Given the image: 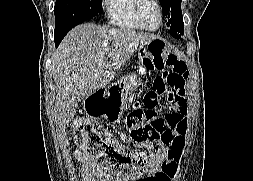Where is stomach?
<instances>
[{
    "mask_svg": "<svg viewBox=\"0 0 253 181\" xmlns=\"http://www.w3.org/2000/svg\"><path fill=\"white\" fill-rule=\"evenodd\" d=\"M131 84H133L132 77H124L86 96L83 100L86 115L90 118L102 117L112 122H119L126 110L124 96Z\"/></svg>",
    "mask_w": 253,
    "mask_h": 181,
    "instance_id": "0dacf381",
    "label": "stomach"
}]
</instances>
